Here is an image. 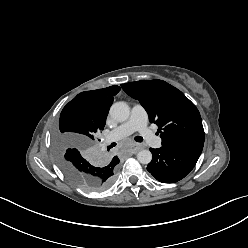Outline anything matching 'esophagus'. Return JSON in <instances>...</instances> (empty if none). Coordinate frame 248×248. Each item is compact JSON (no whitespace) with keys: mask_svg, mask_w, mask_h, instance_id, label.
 Returning <instances> with one entry per match:
<instances>
[{"mask_svg":"<svg viewBox=\"0 0 248 248\" xmlns=\"http://www.w3.org/2000/svg\"><path fill=\"white\" fill-rule=\"evenodd\" d=\"M141 149H142L141 145L134 144L131 150L133 153H137Z\"/></svg>","mask_w":248,"mask_h":248,"instance_id":"34e87169","label":"esophagus"}]
</instances>
